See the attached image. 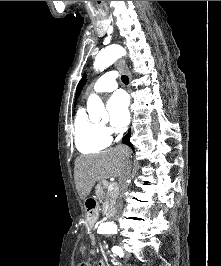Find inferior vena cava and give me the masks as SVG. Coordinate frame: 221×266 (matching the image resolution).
<instances>
[{
  "mask_svg": "<svg viewBox=\"0 0 221 266\" xmlns=\"http://www.w3.org/2000/svg\"><path fill=\"white\" fill-rule=\"evenodd\" d=\"M130 172H131V162L127 161L126 166H125V171L119 180L120 191L118 192H123L125 188L127 187V181L129 179Z\"/></svg>",
  "mask_w": 221,
  "mask_h": 266,
  "instance_id": "obj_1",
  "label": "inferior vena cava"
}]
</instances>
